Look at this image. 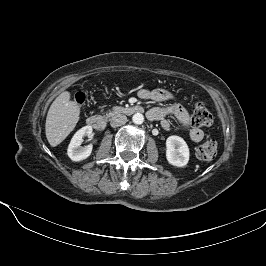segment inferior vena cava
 <instances>
[{
	"mask_svg": "<svg viewBox=\"0 0 266 266\" xmlns=\"http://www.w3.org/2000/svg\"><path fill=\"white\" fill-rule=\"evenodd\" d=\"M127 122V117L123 114H116L110 119V125L112 127H119Z\"/></svg>",
	"mask_w": 266,
	"mask_h": 266,
	"instance_id": "inferior-vena-cava-1",
	"label": "inferior vena cava"
}]
</instances>
